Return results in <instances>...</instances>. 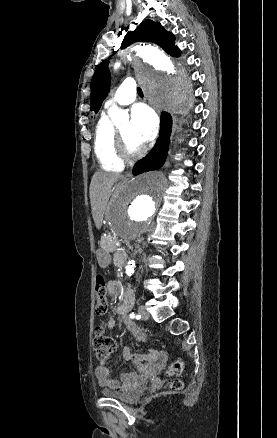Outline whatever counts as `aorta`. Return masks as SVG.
I'll use <instances>...</instances> for the list:
<instances>
[{
	"instance_id": "1",
	"label": "aorta",
	"mask_w": 277,
	"mask_h": 438,
	"mask_svg": "<svg viewBox=\"0 0 277 438\" xmlns=\"http://www.w3.org/2000/svg\"><path fill=\"white\" fill-rule=\"evenodd\" d=\"M135 71L145 94L160 108L179 113L187 111L192 98V83L185 70L176 66L162 51L152 46H136ZM120 63L115 64L118 68ZM115 124L127 122V111L112 106ZM167 181L163 173L150 172L128 182L114 197L109 209L112 231L123 241L135 240L148 232L163 201ZM135 261L129 260L126 274L134 273Z\"/></svg>"
}]
</instances>
